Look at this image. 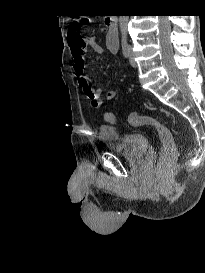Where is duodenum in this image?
Returning a JSON list of instances; mask_svg holds the SVG:
<instances>
[{
  "mask_svg": "<svg viewBox=\"0 0 205 273\" xmlns=\"http://www.w3.org/2000/svg\"><path fill=\"white\" fill-rule=\"evenodd\" d=\"M106 26L113 32H116L117 17L115 15L108 16L105 20Z\"/></svg>",
  "mask_w": 205,
  "mask_h": 273,
  "instance_id": "1",
  "label": "duodenum"
}]
</instances>
